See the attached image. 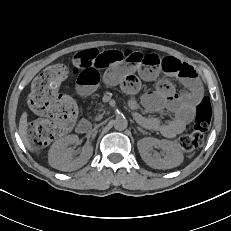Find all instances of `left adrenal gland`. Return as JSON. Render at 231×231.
Listing matches in <instances>:
<instances>
[{"instance_id": "left-adrenal-gland-1", "label": "left adrenal gland", "mask_w": 231, "mask_h": 231, "mask_svg": "<svg viewBox=\"0 0 231 231\" xmlns=\"http://www.w3.org/2000/svg\"><path fill=\"white\" fill-rule=\"evenodd\" d=\"M137 130H138L139 132L143 133V134H146V133H147L145 130H143V129L140 128V127H137Z\"/></svg>"}]
</instances>
